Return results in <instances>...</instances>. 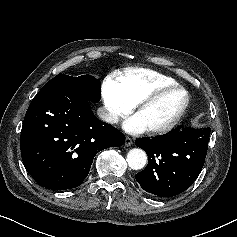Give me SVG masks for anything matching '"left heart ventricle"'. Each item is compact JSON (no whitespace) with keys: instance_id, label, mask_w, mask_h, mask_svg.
<instances>
[{"instance_id":"left-heart-ventricle-1","label":"left heart ventricle","mask_w":237,"mask_h":237,"mask_svg":"<svg viewBox=\"0 0 237 237\" xmlns=\"http://www.w3.org/2000/svg\"><path fill=\"white\" fill-rule=\"evenodd\" d=\"M184 100L185 95L182 91H173L135 115L140 119L146 129L162 126L175 116L184 103Z\"/></svg>"}]
</instances>
